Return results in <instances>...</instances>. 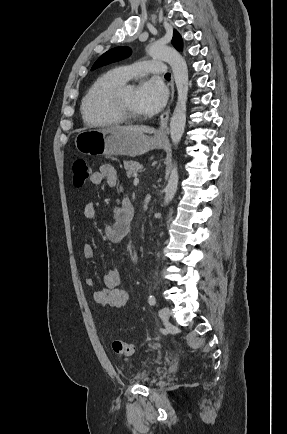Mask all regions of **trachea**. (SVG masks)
<instances>
[{
	"label": "trachea",
	"instance_id": "1",
	"mask_svg": "<svg viewBox=\"0 0 287 434\" xmlns=\"http://www.w3.org/2000/svg\"><path fill=\"white\" fill-rule=\"evenodd\" d=\"M165 77H166V78H170V77H171V74H170V73H166V74H165Z\"/></svg>",
	"mask_w": 287,
	"mask_h": 434
}]
</instances>
